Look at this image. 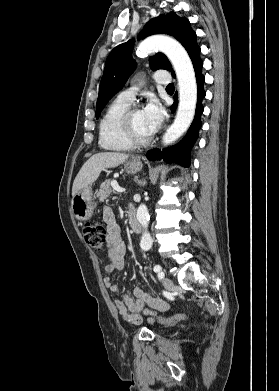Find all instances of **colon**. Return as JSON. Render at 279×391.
<instances>
[{
  "label": "colon",
  "mask_w": 279,
  "mask_h": 391,
  "mask_svg": "<svg viewBox=\"0 0 279 391\" xmlns=\"http://www.w3.org/2000/svg\"><path fill=\"white\" fill-rule=\"evenodd\" d=\"M83 236L87 244L94 250L100 251L104 248L107 230L100 222L86 223L83 227ZM159 321L173 325L187 319L185 314H178L171 317L157 316Z\"/></svg>",
  "instance_id": "obj_1"
}]
</instances>
